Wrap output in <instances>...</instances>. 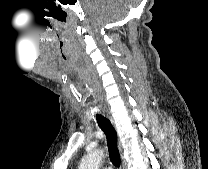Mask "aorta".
Returning a JSON list of instances; mask_svg holds the SVG:
<instances>
[{"label": "aorta", "instance_id": "1", "mask_svg": "<svg viewBox=\"0 0 208 169\" xmlns=\"http://www.w3.org/2000/svg\"><path fill=\"white\" fill-rule=\"evenodd\" d=\"M102 157V150H96L87 154L82 158L79 169H99Z\"/></svg>", "mask_w": 208, "mask_h": 169}]
</instances>
